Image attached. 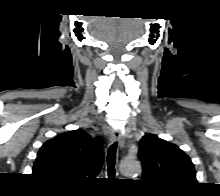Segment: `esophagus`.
Wrapping results in <instances>:
<instances>
[{
  "mask_svg": "<svg viewBox=\"0 0 220 196\" xmlns=\"http://www.w3.org/2000/svg\"><path fill=\"white\" fill-rule=\"evenodd\" d=\"M110 141H111L112 143L118 142L120 146L123 145L121 133H120L119 130H115V131L111 134V136H110Z\"/></svg>",
  "mask_w": 220,
  "mask_h": 196,
  "instance_id": "34e87169",
  "label": "esophagus"
}]
</instances>
